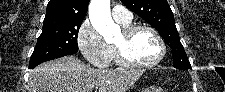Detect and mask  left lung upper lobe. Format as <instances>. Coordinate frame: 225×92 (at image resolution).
I'll list each match as a JSON object with an SVG mask.
<instances>
[{"instance_id":"1","label":"left lung upper lobe","mask_w":225,"mask_h":92,"mask_svg":"<svg viewBox=\"0 0 225 92\" xmlns=\"http://www.w3.org/2000/svg\"><path fill=\"white\" fill-rule=\"evenodd\" d=\"M121 2L158 30L173 50V67L184 70L191 69L167 0H121Z\"/></svg>"}]
</instances>
